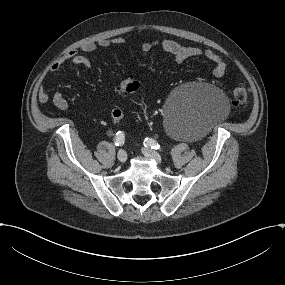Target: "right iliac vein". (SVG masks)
<instances>
[{
	"mask_svg": "<svg viewBox=\"0 0 285 285\" xmlns=\"http://www.w3.org/2000/svg\"><path fill=\"white\" fill-rule=\"evenodd\" d=\"M117 158L121 163H125L127 160V153L125 150H120L117 154Z\"/></svg>",
	"mask_w": 285,
	"mask_h": 285,
	"instance_id": "obj_1",
	"label": "right iliac vein"
}]
</instances>
